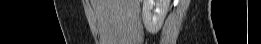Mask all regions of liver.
Returning a JSON list of instances; mask_svg holds the SVG:
<instances>
[{
	"mask_svg": "<svg viewBox=\"0 0 261 44\" xmlns=\"http://www.w3.org/2000/svg\"><path fill=\"white\" fill-rule=\"evenodd\" d=\"M139 3L140 0H91L98 20L100 44L140 42Z\"/></svg>",
	"mask_w": 261,
	"mask_h": 44,
	"instance_id": "liver-1",
	"label": "liver"
}]
</instances>
